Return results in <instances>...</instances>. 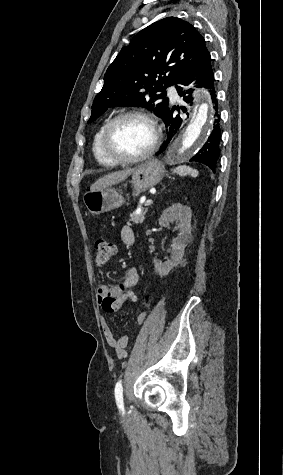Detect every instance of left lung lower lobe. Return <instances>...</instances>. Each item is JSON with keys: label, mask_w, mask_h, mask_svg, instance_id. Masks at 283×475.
I'll list each match as a JSON object with an SVG mask.
<instances>
[{"label": "left lung lower lobe", "mask_w": 283, "mask_h": 475, "mask_svg": "<svg viewBox=\"0 0 283 475\" xmlns=\"http://www.w3.org/2000/svg\"><path fill=\"white\" fill-rule=\"evenodd\" d=\"M194 80H196V83H201V86L198 85L197 87H205L208 89L212 102L214 103V109L216 110V119L214 120V127L210 136L208 137L207 142L203 145L199 152L195 156H193L192 159H190V161L204 163L211 169H215L217 160L220 155L219 144L221 137V129L219 126L220 115L217 112L218 101L216 99L214 74L211 67V58L207 59L196 68L187 72L175 83L179 84V86H176V89L178 91V94L183 97V100L185 102L190 103L193 99L191 97L192 89H187L186 86H188ZM174 110L175 108L170 109L168 106L167 110L161 116L164 119L166 126L168 127V139L164 142V144L161 146V149L156 153V155H159L167 149L172 137L176 134L177 130L183 124L184 120L181 116L173 115ZM177 110H179V107H177Z\"/></svg>", "instance_id": "left-lung-lower-lobe-1"}]
</instances>
